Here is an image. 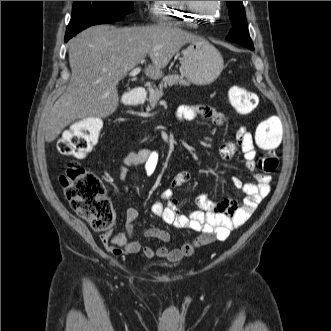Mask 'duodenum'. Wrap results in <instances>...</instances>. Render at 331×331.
I'll list each match as a JSON object with an SVG mask.
<instances>
[{"label":"duodenum","mask_w":331,"mask_h":331,"mask_svg":"<svg viewBox=\"0 0 331 331\" xmlns=\"http://www.w3.org/2000/svg\"><path fill=\"white\" fill-rule=\"evenodd\" d=\"M126 100L131 105H139L145 101V91L142 87H136L126 93Z\"/></svg>","instance_id":"duodenum-1"}]
</instances>
